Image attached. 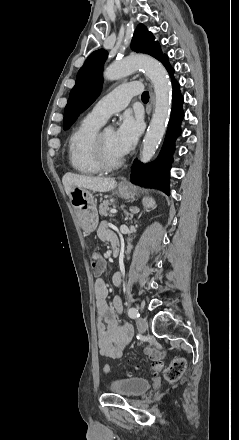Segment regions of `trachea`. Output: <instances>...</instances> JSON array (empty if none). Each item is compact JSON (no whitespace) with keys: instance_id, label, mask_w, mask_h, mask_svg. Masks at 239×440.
Returning <instances> with one entry per match:
<instances>
[{"instance_id":"1","label":"trachea","mask_w":239,"mask_h":440,"mask_svg":"<svg viewBox=\"0 0 239 440\" xmlns=\"http://www.w3.org/2000/svg\"><path fill=\"white\" fill-rule=\"evenodd\" d=\"M141 98H142V100L144 102H147L148 99H149V93L148 92H143Z\"/></svg>"}]
</instances>
